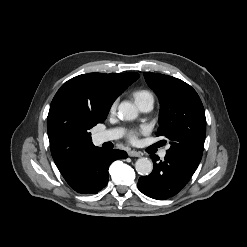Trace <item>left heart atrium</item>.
<instances>
[{
	"instance_id": "1",
	"label": "left heart atrium",
	"mask_w": 247,
	"mask_h": 247,
	"mask_svg": "<svg viewBox=\"0 0 247 247\" xmlns=\"http://www.w3.org/2000/svg\"><path fill=\"white\" fill-rule=\"evenodd\" d=\"M136 138H137V132H132L129 135V139H130L131 142H135L136 141Z\"/></svg>"
}]
</instances>
